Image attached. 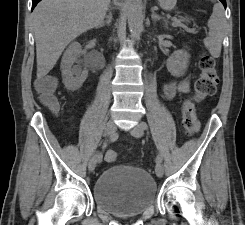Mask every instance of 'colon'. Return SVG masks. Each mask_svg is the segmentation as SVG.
<instances>
[{"label":"colon","instance_id":"1","mask_svg":"<svg viewBox=\"0 0 245 225\" xmlns=\"http://www.w3.org/2000/svg\"><path fill=\"white\" fill-rule=\"evenodd\" d=\"M199 77L195 81L194 91L190 97L183 101L182 118L183 128L187 136H192L199 130V120L196 116L195 102L201 101L216 92L219 82L215 61L211 55L202 52L198 61ZM55 86L52 82L42 85L38 88L40 99L50 108L58 109L59 105L54 95ZM115 158V155L108 153L106 161L109 162Z\"/></svg>","mask_w":245,"mask_h":225}]
</instances>
